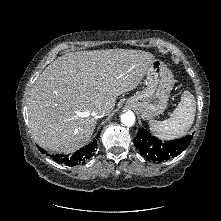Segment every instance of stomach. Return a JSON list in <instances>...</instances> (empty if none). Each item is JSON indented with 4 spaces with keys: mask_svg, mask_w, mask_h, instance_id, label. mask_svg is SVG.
Listing matches in <instances>:
<instances>
[{
    "mask_svg": "<svg viewBox=\"0 0 221 221\" xmlns=\"http://www.w3.org/2000/svg\"><path fill=\"white\" fill-rule=\"evenodd\" d=\"M145 76L146 88L128 98L126 104L135 108L142 119L150 120L166 109L174 78L166 65L156 59L147 68Z\"/></svg>",
    "mask_w": 221,
    "mask_h": 221,
    "instance_id": "0dacf381",
    "label": "stomach"
}]
</instances>
